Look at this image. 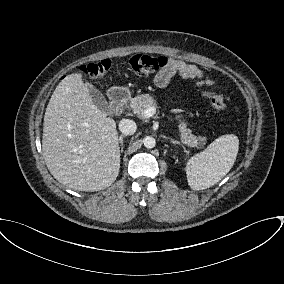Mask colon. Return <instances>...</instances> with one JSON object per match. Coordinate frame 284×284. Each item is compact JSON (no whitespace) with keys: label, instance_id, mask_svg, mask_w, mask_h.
Listing matches in <instances>:
<instances>
[{"label":"colon","instance_id":"1","mask_svg":"<svg viewBox=\"0 0 284 284\" xmlns=\"http://www.w3.org/2000/svg\"><path fill=\"white\" fill-rule=\"evenodd\" d=\"M168 59L165 57H154L147 54H137L130 58V69L139 76H146L166 67ZM111 67V62L107 59L94 63H89L81 67V70L89 77L101 79L107 75ZM210 104L218 111L226 110V104L221 95L210 88L203 92Z\"/></svg>","mask_w":284,"mask_h":284}]
</instances>
